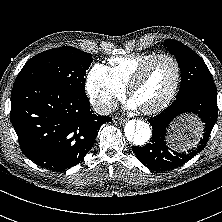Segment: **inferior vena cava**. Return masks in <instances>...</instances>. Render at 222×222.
I'll use <instances>...</instances> for the list:
<instances>
[{"label": "inferior vena cava", "instance_id": "1", "mask_svg": "<svg viewBox=\"0 0 222 222\" xmlns=\"http://www.w3.org/2000/svg\"><path fill=\"white\" fill-rule=\"evenodd\" d=\"M117 104L113 102L95 104L93 106L96 113L100 115H109L112 111L116 109Z\"/></svg>", "mask_w": 222, "mask_h": 222}]
</instances>
